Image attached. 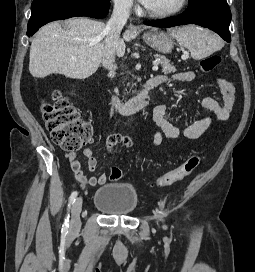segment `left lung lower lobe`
<instances>
[{"instance_id":"left-lung-lower-lobe-1","label":"left lung lower lobe","mask_w":255,"mask_h":272,"mask_svg":"<svg viewBox=\"0 0 255 272\" xmlns=\"http://www.w3.org/2000/svg\"><path fill=\"white\" fill-rule=\"evenodd\" d=\"M230 20L231 11L226 0H191L188 9L182 15L144 24L154 27L197 24L213 30L225 41L230 42Z\"/></svg>"}]
</instances>
